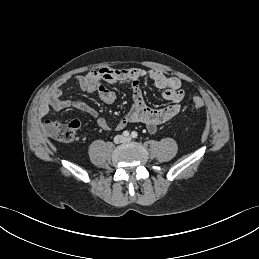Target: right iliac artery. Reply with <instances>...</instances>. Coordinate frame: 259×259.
Listing matches in <instances>:
<instances>
[{"label": "right iliac artery", "mask_w": 259, "mask_h": 259, "mask_svg": "<svg viewBox=\"0 0 259 259\" xmlns=\"http://www.w3.org/2000/svg\"><path fill=\"white\" fill-rule=\"evenodd\" d=\"M123 135H124L125 137H127V136H129V132H128V131H124V132H123Z\"/></svg>", "instance_id": "obj_1"}]
</instances>
